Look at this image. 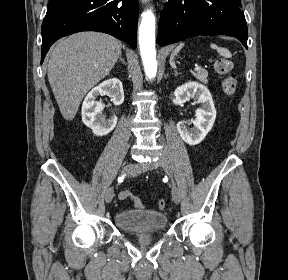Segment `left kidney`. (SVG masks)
<instances>
[{"mask_svg": "<svg viewBox=\"0 0 288 280\" xmlns=\"http://www.w3.org/2000/svg\"><path fill=\"white\" fill-rule=\"evenodd\" d=\"M190 98H195L198 103H201V108L196 110V119L192 121L194 127L189 128L185 121H180L177 130L184 142L197 145L212 129L216 119V109L209 90L203 84L190 81L177 87L173 103L182 106Z\"/></svg>", "mask_w": 288, "mask_h": 280, "instance_id": "1", "label": "left kidney"}]
</instances>
